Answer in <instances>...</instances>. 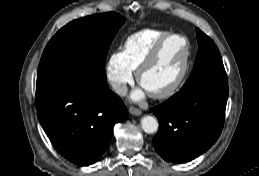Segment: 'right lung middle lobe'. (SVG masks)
<instances>
[{
  "mask_svg": "<svg viewBox=\"0 0 259 176\" xmlns=\"http://www.w3.org/2000/svg\"><path fill=\"white\" fill-rule=\"evenodd\" d=\"M124 21L121 15L109 12L68 23L47 44L39 69L67 60L104 67L111 42Z\"/></svg>",
  "mask_w": 259,
  "mask_h": 176,
  "instance_id": "dd1d6c3e",
  "label": "right lung middle lobe"
}]
</instances>
